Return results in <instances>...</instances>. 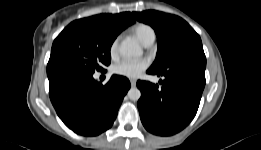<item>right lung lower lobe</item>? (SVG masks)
Segmentation results:
<instances>
[{
	"instance_id": "right-lung-lower-lobe-1",
	"label": "right lung lower lobe",
	"mask_w": 261,
	"mask_h": 150,
	"mask_svg": "<svg viewBox=\"0 0 261 150\" xmlns=\"http://www.w3.org/2000/svg\"><path fill=\"white\" fill-rule=\"evenodd\" d=\"M51 102L64 124L77 134L96 136L109 129L130 88L126 77L113 75L106 85L93 74L48 77Z\"/></svg>"
}]
</instances>
